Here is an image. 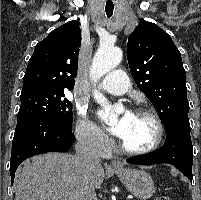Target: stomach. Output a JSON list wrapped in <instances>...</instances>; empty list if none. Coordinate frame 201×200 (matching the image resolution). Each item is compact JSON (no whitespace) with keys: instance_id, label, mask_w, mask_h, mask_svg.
Wrapping results in <instances>:
<instances>
[{"instance_id":"obj_1","label":"stomach","mask_w":201,"mask_h":200,"mask_svg":"<svg viewBox=\"0 0 201 200\" xmlns=\"http://www.w3.org/2000/svg\"><path fill=\"white\" fill-rule=\"evenodd\" d=\"M114 171L130 193L137 198L146 200L153 195L154 182L147 172L137 169H114Z\"/></svg>"}]
</instances>
